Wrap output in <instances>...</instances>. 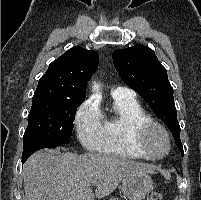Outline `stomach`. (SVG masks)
<instances>
[{
	"label": "stomach",
	"instance_id": "obj_1",
	"mask_svg": "<svg viewBox=\"0 0 201 200\" xmlns=\"http://www.w3.org/2000/svg\"><path fill=\"white\" fill-rule=\"evenodd\" d=\"M153 188V181L147 173L127 175L122 182L123 194L130 200H143Z\"/></svg>",
	"mask_w": 201,
	"mask_h": 200
}]
</instances>
